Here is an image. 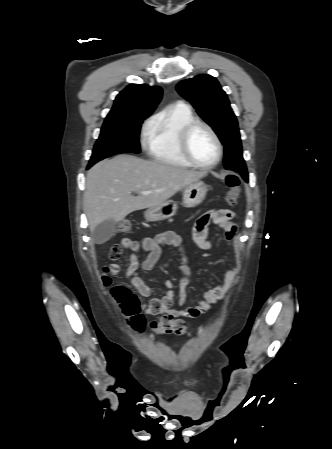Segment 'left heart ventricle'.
Returning a JSON list of instances; mask_svg holds the SVG:
<instances>
[{
	"instance_id": "1",
	"label": "left heart ventricle",
	"mask_w": 332,
	"mask_h": 449,
	"mask_svg": "<svg viewBox=\"0 0 332 449\" xmlns=\"http://www.w3.org/2000/svg\"><path fill=\"white\" fill-rule=\"evenodd\" d=\"M189 148L195 160L201 164L213 162L217 155L215 141L203 127L193 130L189 139Z\"/></svg>"
}]
</instances>
